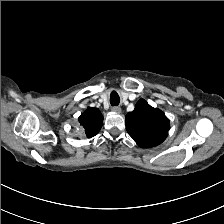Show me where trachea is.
Segmentation results:
<instances>
[{
	"label": "trachea",
	"mask_w": 224,
	"mask_h": 224,
	"mask_svg": "<svg viewBox=\"0 0 224 224\" xmlns=\"http://www.w3.org/2000/svg\"><path fill=\"white\" fill-rule=\"evenodd\" d=\"M120 102V98L116 92H112L111 97H110V104L112 106H117Z\"/></svg>",
	"instance_id": "obj_1"
}]
</instances>
